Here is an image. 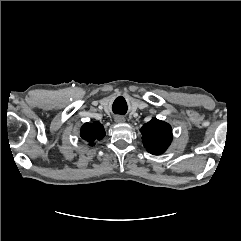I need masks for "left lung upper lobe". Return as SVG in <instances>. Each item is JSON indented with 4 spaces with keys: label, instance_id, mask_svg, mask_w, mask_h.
<instances>
[{
    "label": "left lung upper lobe",
    "instance_id": "5c2ea615",
    "mask_svg": "<svg viewBox=\"0 0 241 241\" xmlns=\"http://www.w3.org/2000/svg\"><path fill=\"white\" fill-rule=\"evenodd\" d=\"M140 131L144 147L154 155L164 153L172 141L171 126L156 118L144 124Z\"/></svg>",
    "mask_w": 241,
    "mask_h": 241
}]
</instances>
